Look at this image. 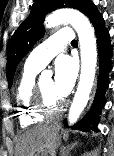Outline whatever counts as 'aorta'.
Returning <instances> with one entry per match:
<instances>
[{"instance_id": "1", "label": "aorta", "mask_w": 114, "mask_h": 156, "mask_svg": "<svg viewBox=\"0 0 114 156\" xmlns=\"http://www.w3.org/2000/svg\"><path fill=\"white\" fill-rule=\"evenodd\" d=\"M70 23L76 30L81 50V74L77 91L71 104L68 122L73 125L86 107L95 77L97 48L94 30L81 12L74 9H61L46 18V27H56L62 23ZM50 75L43 72V75Z\"/></svg>"}]
</instances>
